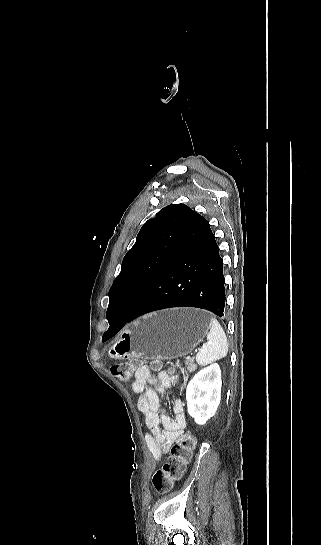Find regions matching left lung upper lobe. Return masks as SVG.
<instances>
[{
	"mask_svg": "<svg viewBox=\"0 0 321 545\" xmlns=\"http://www.w3.org/2000/svg\"><path fill=\"white\" fill-rule=\"evenodd\" d=\"M192 213L185 204L169 205L142 226L109 290L107 319L115 311L134 310L166 263Z\"/></svg>",
	"mask_w": 321,
	"mask_h": 545,
	"instance_id": "1",
	"label": "left lung upper lobe"
}]
</instances>
